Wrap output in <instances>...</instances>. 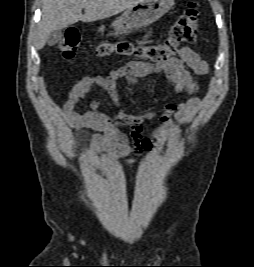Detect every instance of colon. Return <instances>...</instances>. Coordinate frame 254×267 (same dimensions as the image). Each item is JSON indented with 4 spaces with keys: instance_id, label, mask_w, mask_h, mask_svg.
Listing matches in <instances>:
<instances>
[{
    "instance_id": "5ec220e1",
    "label": "colon",
    "mask_w": 254,
    "mask_h": 267,
    "mask_svg": "<svg viewBox=\"0 0 254 267\" xmlns=\"http://www.w3.org/2000/svg\"><path fill=\"white\" fill-rule=\"evenodd\" d=\"M199 31L198 10L194 2H190L185 13L173 24L168 37L161 43L151 45H136L128 41H101L95 47V54L99 57L111 54L136 56L155 63L166 62L177 56L184 44L196 40ZM80 44V34L75 28L66 30L59 43L62 57L72 62Z\"/></svg>"
}]
</instances>
